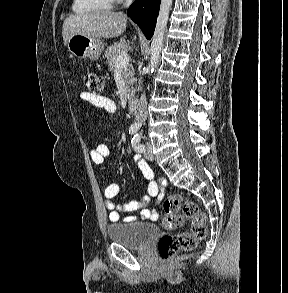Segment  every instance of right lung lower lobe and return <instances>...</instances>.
<instances>
[{"label": "right lung lower lobe", "mask_w": 288, "mask_h": 293, "mask_svg": "<svg viewBox=\"0 0 288 293\" xmlns=\"http://www.w3.org/2000/svg\"><path fill=\"white\" fill-rule=\"evenodd\" d=\"M161 0H136L128 9V16L141 28L150 39L156 26Z\"/></svg>", "instance_id": "right-lung-lower-lobe-1"}]
</instances>
